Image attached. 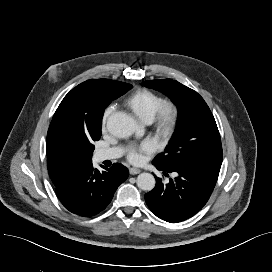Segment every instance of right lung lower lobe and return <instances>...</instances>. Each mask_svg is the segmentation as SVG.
<instances>
[{
    "label": "right lung lower lobe",
    "instance_id": "right-lung-lower-lobe-1",
    "mask_svg": "<svg viewBox=\"0 0 272 272\" xmlns=\"http://www.w3.org/2000/svg\"><path fill=\"white\" fill-rule=\"evenodd\" d=\"M128 169L120 163L100 172L92 161L84 164L74 177L55 187V192L70 212L90 217L104 210L118 186L128 177Z\"/></svg>",
    "mask_w": 272,
    "mask_h": 272
}]
</instances>
